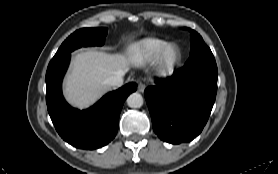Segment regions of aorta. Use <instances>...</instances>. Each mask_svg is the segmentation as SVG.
I'll return each mask as SVG.
<instances>
[{
  "mask_svg": "<svg viewBox=\"0 0 278 174\" xmlns=\"http://www.w3.org/2000/svg\"><path fill=\"white\" fill-rule=\"evenodd\" d=\"M127 105L130 108H140L143 105V97L139 93H132L127 98Z\"/></svg>",
  "mask_w": 278,
  "mask_h": 174,
  "instance_id": "1",
  "label": "aorta"
}]
</instances>
